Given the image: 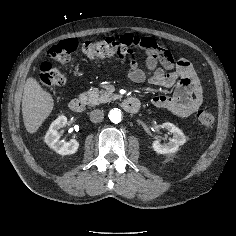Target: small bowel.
Listing matches in <instances>:
<instances>
[{"instance_id": "c3829d8e", "label": "small bowel", "mask_w": 236, "mask_h": 236, "mask_svg": "<svg viewBox=\"0 0 236 236\" xmlns=\"http://www.w3.org/2000/svg\"><path fill=\"white\" fill-rule=\"evenodd\" d=\"M120 41L129 46H138L147 51L146 70L138 63L129 61V78L135 83L150 84L170 88L176 86L173 95H157L152 103L158 108L169 110L180 117H188L198 111L203 103V90L192 64L185 58L175 59L149 37L125 34ZM160 63L161 67L158 66Z\"/></svg>"}]
</instances>
